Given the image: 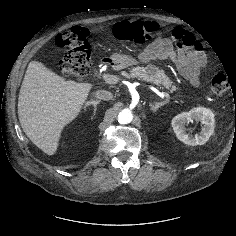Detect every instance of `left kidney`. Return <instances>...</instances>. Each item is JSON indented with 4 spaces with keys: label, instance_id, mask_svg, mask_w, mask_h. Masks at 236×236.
I'll use <instances>...</instances> for the list:
<instances>
[{
    "label": "left kidney",
    "instance_id": "5707ae66",
    "mask_svg": "<svg viewBox=\"0 0 236 236\" xmlns=\"http://www.w3.org/2000/svg\"><path fill=\"white\" fill-rule=\"evenodd\" d=\"M193 121L202 124L201 131L195 136L188 134L185 127ZM171 125L176 137L183 143L190 146L203 145L214 133V114L208 108L196 107L191 109L189 112H182L175 116L171 121Z\"/></svg>",
    "mask_w": 236,
    "mask_h": 236
}]
</instances>
